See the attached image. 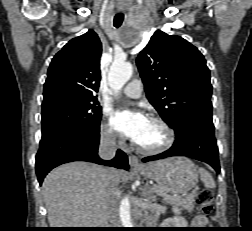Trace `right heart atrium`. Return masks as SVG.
<instances>
[{"label": "right heart atrium", "instance_id": "1", "mask_svg": "<svg viewBox=\"0 0 252 231\" xmlns=\"http://www.w3.org/2000/svg\"><path fill=\"white\" fill-rule=\"evenodd\" d=\"M100 135L103 141L111 145H121L123 139L118 136L107 121H103L100 127Z\"/></svg>", "mask_w": 252, "mask_h": 231}]
</instances>
